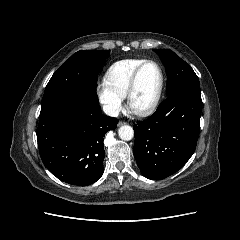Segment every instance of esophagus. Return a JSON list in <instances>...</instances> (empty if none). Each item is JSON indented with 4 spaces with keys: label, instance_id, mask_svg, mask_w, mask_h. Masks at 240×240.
Returning <instances> with one entry per match:
<instances>
[{
    "label": "esophagus",
    "instance_id": "esophagus-1",
    "mask_svg": "<svg viewBox=\"0 0 240 240\" xmlns=\"http://www.w3.org/2000/svg\"><path fill=\"white\" fill-rule=\"evenodd\" d=\"M125 123H126V122H124V121H119L118 125L121 126V125H123V124H125Z\"/></svg>",
    "mask_w": 240,
    "mask_h": 240
}]
</instances>
